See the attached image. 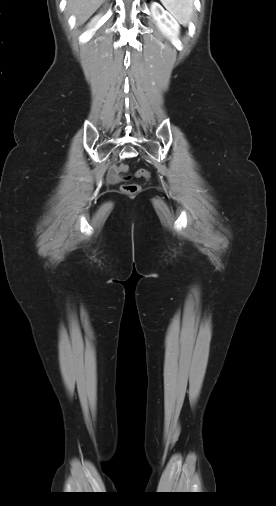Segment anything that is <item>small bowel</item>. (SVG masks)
<instances>
[{
    "mask_svg": "<svg viewBox=\"0 0 276 506\" xmlns=\"http://www.w3.org/2000/svg\"><path fill=\"white\" fill-rule=\"evenodd\" d=\"M108 179L112 182H117L119 180L117 171L115 168H111L108 173Z\"/></svg>",
    "mask_w": 276,
    "mask_h": 506,
    "instance_id": "1",
    "label": "small bowel"
}]
</instances>
